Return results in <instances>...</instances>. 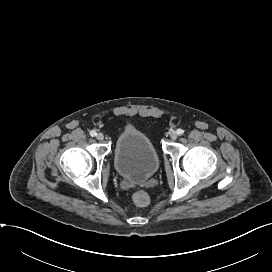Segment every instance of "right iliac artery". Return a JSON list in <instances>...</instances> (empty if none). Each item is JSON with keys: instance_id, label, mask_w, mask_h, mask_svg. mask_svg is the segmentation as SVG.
Returning a JSON list of instances; mask_svg holds the SVG:
<instances>
[{"instance_id": "obj_1", "label": "right iliac artery", "mask_w": 272, "mask_h": 272, "mask_svg": "<svg viewBox=\"0 0 272 272\" xmlns=\"http://www.w3.org/2000/svg\"><path fill=\"white\" fill-rule=\"evenodd\" d=\"M96 131L95 130H92V131H90V135L92 136V137H94V136H96Z\"/></svg>"}]
</instances>
